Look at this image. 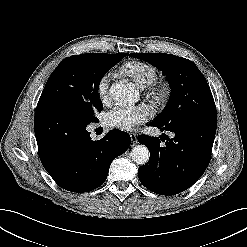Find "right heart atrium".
Returning <instances> with one entry per match:
<instances>
[{
  "mask_svg": "<svg viewBox=\"0 0 247 247\" xmlns=\"http://www.w3.org/2000/svg\"><path fill=\"white\" fill-rule=\"evenodd\" d=\"M110 81L111 76L109 74H106L99 79L97 84V93L103 103H107L109 101Z\"/></svg>",
  "mask_w": 247,
  "mask_h": 247,
  "instance_id": "obj_1",
  "label": "right heart atrium"
}]
</instances>
